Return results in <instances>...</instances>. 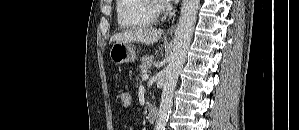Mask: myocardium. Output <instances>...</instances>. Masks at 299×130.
I'll return each mask as SVG.
<instances>
[{
	"instance_id": "1",
	"label": "myocardium",
	"mask_w": 299,
	"mask_h": 130,
	"mask_svg": "<svg viewBox=\"0 0 299 130\" xmlns=\"http://www.w3.org/2000/svg\"><path fill=\"white\" fill-rule=\"evenodd\" d=\"M150 8L153 11V13L156 16H158V15L162 14L164 6H163V3L161 1L152 0V1H150Z\"/></svg>"
}]
</instances>
